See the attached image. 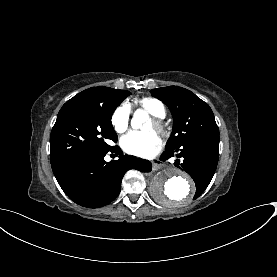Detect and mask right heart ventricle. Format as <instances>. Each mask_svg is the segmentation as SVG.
<instances>
[{"label":"right heart ventricle","instance_id":"e07e8e85","mask_svg":"<svg viewBox=\"0 0 277 277\" xmlns=\"http://www.w3.org/2000/svg\"><path fill=\"white\" fill-rule=\"evenodd\" d=\"M139 106L156 117H163L165 115L164 105L154 98L141 99L139 101Z\"/></svg>","mask_w":277,"mask_h":277}]
</instances>
